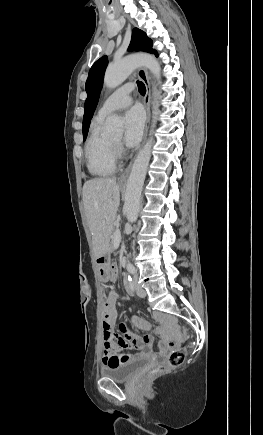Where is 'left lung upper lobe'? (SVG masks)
Masks as SVG:
<instances>
[{"instance_id":"5c2ea615","label":"left lung upper lobe","mask_w":263,"mask_h":435,"mask_svg":"<svg viewBox=\"0 0 263 435\" xmlns=\"http://www.w3.org/2000/svg\"><path fill=\"white\" fill-rule=\"evenodd\" d=\"M128 51H145L158 56V53L152 49V40L147 37L145 32L138 28L133 29ZM107 65L108 58L107 56H103L93 64L89 71L88 79L85 84L87 99L85 101V113L83 117V140L86 139L90 120L93 117V113L98 103L100 91L102 89L103 76Z\"/></svg>"}]
</instances>
